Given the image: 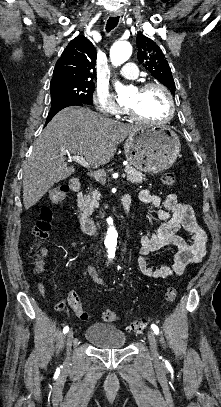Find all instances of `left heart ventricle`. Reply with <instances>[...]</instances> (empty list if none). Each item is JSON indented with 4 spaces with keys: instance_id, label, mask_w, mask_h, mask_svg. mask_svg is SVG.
Listing matches in <instances>:
<instances>
[{
    "instance_id": "1",
    "label": "left heart ventricle",
    "mask_w": 221,
    "mask_h": 407,
    "mask_svg": "<svg viewBox=\"0 0 221 407\" xmlns=\"http://www.w3.org/2000/svg\"><path fill=\"white\" fill-rule=\"evenodd\" d=\"M125 106L133 108L143 118L154 121L164 119L169 110L167 97L158 88H151L144 93L136 90Z\"/></svg>"
}]
</instances>
